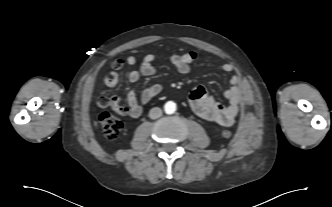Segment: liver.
<instances>
[{"mask_svg": "<svg viewBox=\"0 0 332 207\" xmlns=\"http://www.w3.org/2000/svg\"><path fill=\"white\" fill-rule=\"evenodd\" d=\"M94 125L97 127V122H94Z\"/></svg>", "mask_w": 332, "mask_h": 207, "instance_id": "1", "label": "liver"}]
</instances>
